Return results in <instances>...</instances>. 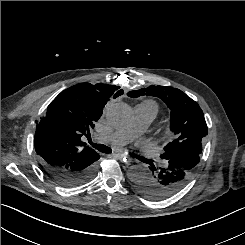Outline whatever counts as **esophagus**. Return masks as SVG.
Instances as JSON below:
<instances>
[{"instance_id": "34e87169", "label": "esophagus", "mask_w": 245, "mask_h": 245, "mask_svg": "<svg viewBox=\"0 0 245 245\" xmlns=\"http://www.w3.org/2000/svg\"><path fill=\"white\" fill-rule=\"evenodd\" d=\"M113 156L115 158L123 160V162L126 163V164H129V163L132 162V158H130L129 156H127L125 154L115 153Z\"/></svg>"}]
</instances>
